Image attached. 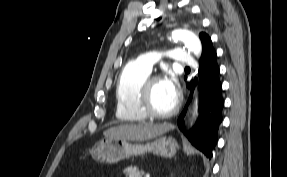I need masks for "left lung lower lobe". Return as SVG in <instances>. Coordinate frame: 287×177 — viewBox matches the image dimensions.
<instances>
[{
	"instance_id": "left-lung-lower-lobe-1",
	"label": "left lung lower lobe",
	"mask_w": 287,
	"mask_h": 177,
	"mask_svg": "<svg viewBox=\"0 0 287 177\" xmlns=\"http://www.w3.org/2000/svg\"><path fill=\"white\" fill-rule=\"evenodd\" d=\"M196 84L197 79L187 83V87L191 91L190 99L193 96V89ZM199 89V118L193 129L186 133V135L197 149L203 152L207 158L211 159L213 156L212 151L217 144V134L222 122V109L224 106L217 55L211 39L204 45L200 59ZM188 104L189 102L178 118V126L183 131L184 116Z\"/></svg>"
}]
</instances>
